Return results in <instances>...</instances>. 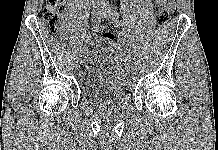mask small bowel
I'll return each mask as SVG.
<instances>
[{
	"instance_id": "1",
	"label": "small bowel",
	"mask_w": 218,
	"mask_h": 150,
	"mask_svg": "<svg viewBox=\"0 0 218 150\" xmlns=\"http://www.w3.org/2000/svg\"><path fill=\"white\" fill-rule=\"evenodd\" d=\"M156 2L159 5L168 8L169 10H173L174 9V2H173V0H156Z\"/></svg>"
}]
</instances>
